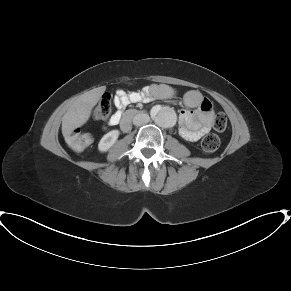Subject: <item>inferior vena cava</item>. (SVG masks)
I'll use <instances>...</instances> for the list:
<instances>
[{"label": "inferior vena cava", "instance_id": "1", "mask_svg": "<svg viewBox=\"0 0 291 291\" xmlns=\"http://www.w3.org/2000/svg\"><path fill=\"white\" fill-rule=\"evenodd\" d=\"M150 121V117L148 114L139 113L133 118V124L136 126H142L147 124Z\"/></svg>", "mask_w": 291, "mask_h": 291}]
</instances>
